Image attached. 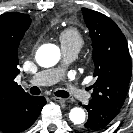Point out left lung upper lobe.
<instances>
[{"instance_id":"left-lung-upper-lobe-1","label":"left lung upper lobe","mask_w":133,"mask_h":133,"mask_svg":"<svg viewBox=\"0 0 133 133\" xmlns=\"http://www.w3.org/2000/svg\"><path fill=\"white\" fill-rule=\"evenodd\" d=\"M93 46L94 76L97 81L92 99L121 109L132 73L128 45L124 34L109 17L82 8Z\"/></svg>"}]
</instances>
